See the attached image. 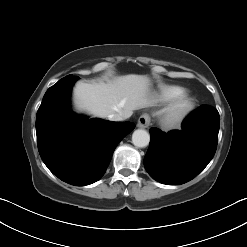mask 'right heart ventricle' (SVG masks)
<instances>
[{
	"instance_id": "obj_1",
	"label": "right heart ventricle",
	"mask_w": 247,
	"mask_h": 247,
	"mask_svg": "<svg viewBox=\"0 0 247 247\" xmlns=\"http://www.w3.org/2000/svg\"><path fill=\"white\" fill-rule=\"evenodd\" d=\"M185 93V89L178 85H164L159 89L158 99L161 102H170Z\"/></svg>"
}]
</instances>
